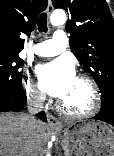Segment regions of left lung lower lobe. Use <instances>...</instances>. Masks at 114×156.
<instances>
[{
    "instance_id": "0a47b994",
    "label": "left lung lower lobe",
    "mask_w": 114,
    "mask_h": 156,
    "mask_svg": "<svg viewBox=\"0 0 114 156\" xmlns=\"http://www.w3.org/2000/svg\"><path fill=\"white\" fill-rule=\"evenodd\" d=\"M93 119L101 120L114 126V108H101L100 112Z\"/></svg>"
}]
</instances>
